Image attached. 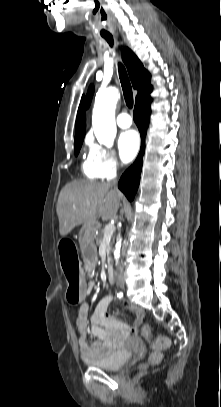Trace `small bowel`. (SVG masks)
Masks as SVG:
<instances>
[{
	"instance_id": "obj_1",
	"label": "small bowel",
	"mask_w": 221,
	"mask_h": 407,
	"mask_svg": "<svg viewBox=\"0 0 221 407\" xmlns=\"http://www.w3.org/2000/svg\"><path fill=\"white\" fill-rule=\"evenodd\" d=\"M94 289L95 283L88 282L84 287V297L91 294ZM111 299V294L106 295L98 303L91 316L88 314V304L85 300L82 301L78 308L76 319L77 345L84 360L101 358L109 354L119 346L123 339L130 334L136 333L144 319L142 310L129 303H124L123 309L134 311L136 320L133 324L121 321L116 315L109 313L107 310ZM89 330L95 338L93 344H89L87 341Z\"/></svg>"
}]
</instances>
